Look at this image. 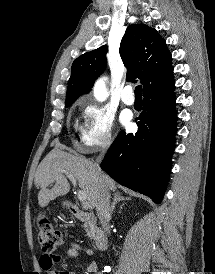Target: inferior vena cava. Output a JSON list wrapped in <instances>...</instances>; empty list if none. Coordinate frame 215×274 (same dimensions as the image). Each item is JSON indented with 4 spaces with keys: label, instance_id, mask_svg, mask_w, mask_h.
Segmentation results:
<instances>
[{
    "label": "inferior vena cava",
    "instance_id": "inferior-vena-cava-1",
    "mask_svg": "<svg viewBox=\"0 0 215 274\" xmlns=\"http://www.w3.org/2000/svg\"><path fill=\"white\" fill-rule=\"evenodd\" d=\"M105 152H101L97 157L96 162L94 163L95 170L100 173L101 169L99 163L102 161ZM100 189L99 195L96 204V211L99 217V220L106 232H110L109 230V220L111 218L110 215V193L107 186L104 183V180L100 177L99 179Z\"/></svg>",
    "mask_w": 215,
    "mask_h": 274
}]
</instances>
